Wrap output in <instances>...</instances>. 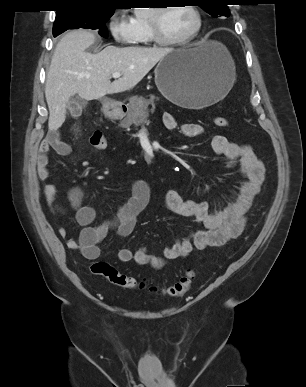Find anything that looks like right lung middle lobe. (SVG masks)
<instances>
[{
  "label": "right lung middle lobe",
  "instance_id": "right-lung-middle-lobe-1",
  "mask_svg": "<svg viewBox=\"0 0 306 387\" xmlns=\"http://www.w3.org/2000/svg\"><path fill=\"white\" fill-rule=\"evenodd\" d=\"M114 10H68L57 13L53 35L57 36L68 29L86 28L99 31V34L107 38L108 32L105 23L113 15Z\"/></svg>",
  "mask_w": 306,
  "mask_h": 387
}]
</instances>
